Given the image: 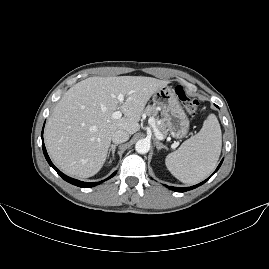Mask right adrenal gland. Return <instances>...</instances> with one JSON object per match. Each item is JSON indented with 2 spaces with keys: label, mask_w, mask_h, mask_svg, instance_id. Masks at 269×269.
<instances>
[{
  "label": "right adrenal gland",
  "mask_w": 269,
  "mask_h": 269,
  "mask_svg": "<svg viewBox=\"0 0 269 269\" xmlns=\"http://www.w3.org/2000/svg\"><path fill=\"white\" fill-rule=\"evenodd\" d=\"M118 146V144H111V147L109 148V151H108V157L110 155V153L112 152V159H114V154H115V150H116V147ZM112 160L110 159L109 163H111Z\"/></svg>",
  "instance_id": "obj_1"
}]
</instances>
